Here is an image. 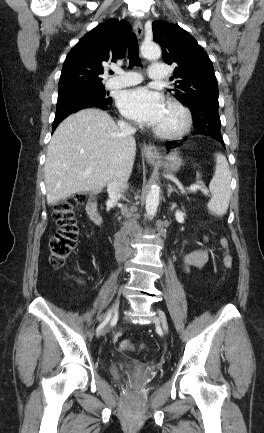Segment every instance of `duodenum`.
I'll return each instance as SVG.
<instances>
[{
    "label": "duodenum",
    "mask_w": 264,
    "mask_h": 433,
    "mask_svg": "<svg viewBox=\"0 0 264 433\" xmlns=\"http://www.w3.org/2000/svg\"><path fill=\"white\" fill-rule=\"evenodd\" d=\"M87 212L91 218V220L97 225L102 226L103 225V216L101 215L99 208H98V200L96 196H93L89 199L87 206H86Z\"/></svg>",
    "instance_id": "obj_1"
}]
</instances>
